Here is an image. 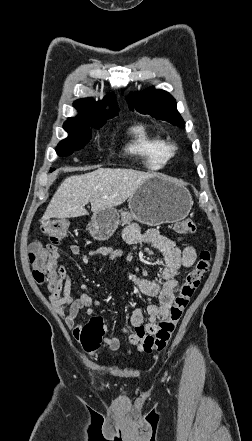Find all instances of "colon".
<instances>
[{"instance_id":"1","label":"colon","mask_w":252,"mask_h":441,"mask_svg":"<svg viewBox=\"0 0 252 441\" xmlns=\"http://www.w3.org/2000/svg\"><path fill=\"white\" fill-rule=\"evenodd\" d=\"M67 228L68 222L62 219L51 220L43 225V232L49 238V242L45 246L34 244L29 253L33 277L38 283L49 282L56 277V263L53 255L58 251L59 243L66 235ZM174 230L181 235H192L196 232L197 227L193 220L184 219L176 223ZM211 263V254L208 251H202L194 267L186 274L180 285L178 293L169 307L167 317L156 323L154 333H148L144 326L135 328V334L141 342L143 352L161 351L167 346L184 309L209 271ZM106 330L107 326L101 316L92 317L83 326L80 333V341L84 350L86 352L97 350Z\"/></svg>"}]
</instances>
